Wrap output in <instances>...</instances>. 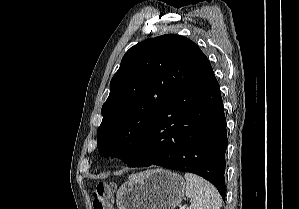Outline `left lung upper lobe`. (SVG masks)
I'll list each match as a JSON object with an SVG mask.
<instances>
[{
  "instance_id": "obj_1",
  "label": "left lung upper lobe",
  "mask_w": 299,
  "mask_h": 209,
  "mask_svg": "<svg viewBox=\"0 0 299 209\" xmlns=\"http://www.w3.org/2000/svg\"><path fill=\"white\" fill-rule=\"evenodd\" d=\"M209 64L201 49L176 34L147 39L123 56L110 82L97 130L101 156L130 161L161 108L183 85Z\"/></svg>"
}]
</instances>
